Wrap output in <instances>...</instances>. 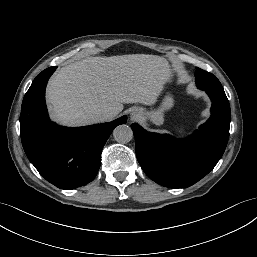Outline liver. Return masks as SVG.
I'll return each mask as SVG.
<instances>
[{"instance_id":"1","label":"liver","mask_w":257,"mask_h":257,"mask_svg":"<svg viewBox=\"0 0 257 257\" xmlns=\"http://www.w3.org/2000/svg\"><path fill=\"white\" fill-rule=\"evenodd\" d=\"M169 75L167 61L156 55L87 57L51 78L47 100L59 123L94 124L102 110L119 114L123 104L154 105Z\"/></svg>"}]
</instances>
